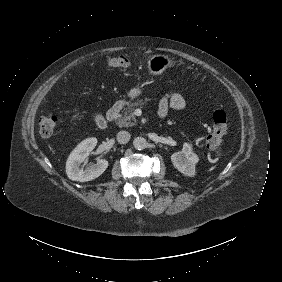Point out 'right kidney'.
<instances>
[{
  "label": "right kidney",
  "instance_id": "1",
  "mask_svg": "<svg viewBox=\"0 0 282 282\" xmlns=\"http://www.w3.org/2000/svg\"><path fill=\"white\" fill-rule=\"evenodd\" d=\"M97 145V138L90 137L80 142L70 153L66 161V174L73 181L86 182L99 177L108 167V161L98 159L96 164H91L85 170L80 164L89 156Z\"/></svg>",
  "mask_w": 282,
  "mask_h": 282
}]
</instances>
